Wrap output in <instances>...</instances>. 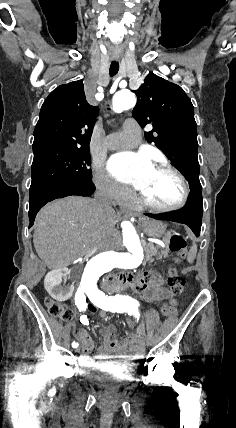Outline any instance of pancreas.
Listing matches in <instances>:
<instances>
[{
  "instance_id": "pancreas-1",
  "label": "pancreas",
  "mask_w": 236,
  "mask_h": 428,
  "mask_svg": "<svg viewBox=\"0 0 236 428\" xmlns=\"http://www.w3.org/2000/svg\"><path fill=\"white\" fill-rule=\"evenodd\" d=\"M144 250H145V262H149V260H152V256H156L157 260H161V258H167L168 256L167 250H163V248H160V246H155L153 242H150V244H147ZM159 250H161V252H159Z\"/></svg>"
}]
</instances>
